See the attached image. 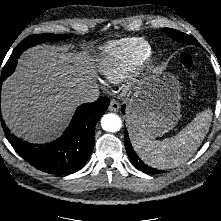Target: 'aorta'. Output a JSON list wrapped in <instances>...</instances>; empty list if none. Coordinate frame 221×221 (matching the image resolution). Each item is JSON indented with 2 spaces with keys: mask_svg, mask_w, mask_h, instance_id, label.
<instances>
[{
  "mask_svg": "<svg viewBox=\"0 0 221 221\" xmlns=\"http://www.w3.org/2000/svg\"><path fill=\"white\" fill-rule=\"evenodd\" d=\"M101 126L105 131L117 132L122 127V121L118 115L109 113L102 117Z\"/></svg>",
  "mask_w": 221,
  "mask_h": 221,
  "instance_id": "1",
  "label": "aorta"
}]
</instances>
